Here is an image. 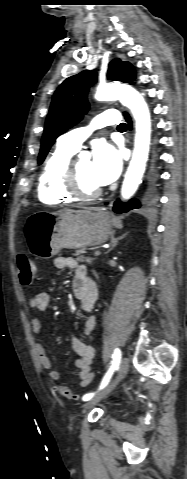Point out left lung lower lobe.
<instances>
[{"label": "left lung lower lobe", "mask_w": 187, "mask_h": 479, "mask_svg": "<svg viewBox=\"0 0 187 479\" xmlns=\"http://www.w3.org/2000/svg\"><path fill=\"white\" fill-rule=\"evenodd\" d=\"M125 118L128 122V127L131 128V121L130 117L128 116V113H124ZM140 203L137 200H130L129 202L122 203L119 200L115 202L113 210L116 213H125L131 209L139 208Z\"/></svg>", "instance_id": "obj_1"}]
</instances>
